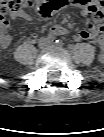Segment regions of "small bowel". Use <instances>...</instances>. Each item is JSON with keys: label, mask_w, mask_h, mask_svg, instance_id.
Listing matches in <instances>:
<instances>
[{"label": "small bowel", "mask_w": 104, "mask_h": 137, "mask_svg": "<svg viewBox=\"0 0 104 137\" xmlns=\"http://www.w3.org/2000/svg\"><path fill=\"white\" fill-rule=\"evenodd\" d=\"M96 0H70L69 4L80 9L82 16L91 24L90 29L78 30L75 37L78 40H89L99 45H102V33L104 28L102 26V8L95 2ZM21 18L30 20L27 14H20ZM54 34H65L66 29L61 26H55L52 29ZM12 37L6 33L0 37V46L6 49L11 43Z\"/></svg>", "instance_id": "1"}]
</instances>
